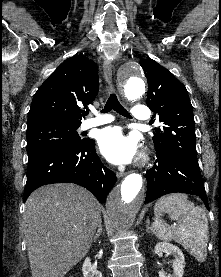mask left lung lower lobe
Returning a JSON list of instances; mask_svg holds the SVG:
<instances>
[{
    "label": "left lung lower lobe",
    "instance_id": "left-lung-lower-lobe-1",
    "mask_svg": "<svg viewBox=\"0 0 221 277\" xmlns=\"http://www.w3.org/2000/svg\"><path fill=\"white\" fill-rule=\"evenodd\" d=\"M157 160L149 169L145 203L169 193H188L199 196L209 210L200 168L174 154H156Z\"/></svg>",
    "mask_w": 221,
    "mask_h": 277
}]
</instances>
